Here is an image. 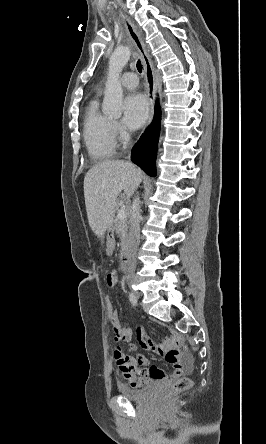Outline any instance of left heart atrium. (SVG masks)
Here are the masks:
<instances>
[{
  "mask_svg": "<svg viewBox=\"0 0 266 444\" xmlns=\"http://www.w3.org/2000/svg\"><path fill=\"white\" fill-rule=\"evenodd\" d=\"M147 99L139 93H132L124 100V124L130 129L142 126L148 118Z\"/></svg>",
  "mask_w": 266,
  "mask_h": 444,
  "instance_id": "39dd6f15",
  "label": "left heart atrium"
}]
</instances>
